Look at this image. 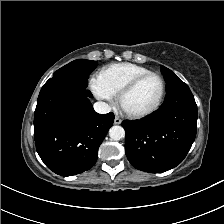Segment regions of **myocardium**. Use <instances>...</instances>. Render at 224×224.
Masks as SVG:
<instances>
[{
    "instance_id": "myocardium-1",
    "label": "myocardium",
    "mask_w": 224,
    "mask_h": 224,
    "mask_svg": "<svg viewBox=\"0 0 224 224\" xmlns=\"http://www.w3.org/2000/svg\"><path fill=\"white\" fill-rule=\"evenodd\" d=\"M149 77H156L159 82H160V94L156 100V102L154 103L153 106H151L149 109L143 110V111H139V112H128L126 111L123 106H122V101L123 98L129 94L131 91H133L143 80L149 78ZM165 92H166V83L164 78L155 72H149L140 76L135 77L134 79H132L130 82H128L117 94V103L119 105V107L122 109V111L129 117L131 118H143L146 116H149L151 114H153L155 111H157L159 109V107L161 106L164 96H165Z\"/></svg>"
}]
</instances>
